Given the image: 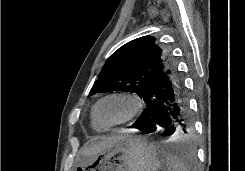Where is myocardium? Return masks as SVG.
<instances>
[{"instance_id":"obj_1","label":"myocardium","mask_w":245,"mask_h":171,"mask_svg":"<svg viewBox=\"0 0 245 171\" xmlns=\"http://www.w3.org/2000/svg\"><path fill=\"white\" fill-rule=\"evenodd\" d=\"M111 98H119L127 101L129 103L130 108L127 115L121 120L112 123H107L104 122L102 119H100V117L98 116V108L103 101ZM142 106H143L142 100L136 93L128 92V91H119V92L109 93L101 97L94 105L92 114L95 120L98 123H100L103 127H116V126L126 124L132 121L135 117H137L142 110Z\"/></svg>"}]
</instances>
